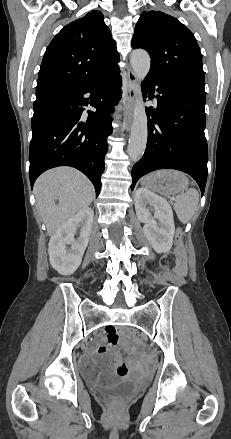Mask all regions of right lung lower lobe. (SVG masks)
Returning a JSON list of instances; mask_svg holds the SVG:
<instances>
[{
  "label": "right lung lower lobe",
  "mask_w": 231,
  "mask_h": 439,
  "mask_svg": "<svg viewBox=\"0 0 231 439\" xmlns=\"http://www.w3.org/2000/svg\"><path fill=\"white\" fill-rule=\"evenodd\" d=\"M119 67L75 88H62L36 95L34 106H52L51 113L32 118L29 151L31 187L47 169L72 166L93 183L96 197L101 189L107 138L112 134L110 113L121 98ZM88 96V97H87ZM91 105L96 112L84 107Z\"/></svg>",
  "instance_id": "98d812e1"
}]
</instances>
